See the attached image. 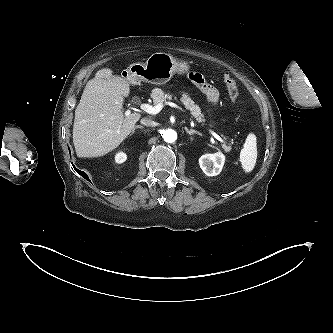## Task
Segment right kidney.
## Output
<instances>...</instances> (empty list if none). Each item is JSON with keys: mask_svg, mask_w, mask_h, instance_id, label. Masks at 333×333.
I'll return each instance as SVG.
<instances>
[{"mask_svg": "<svg viewBox=\"0 0 333 333\" xmlns=\"http://www.w3.org/2000/svg\"><path fill=\"white\" fill-rule=\"evenodd\" d=\"M115 162L121 164L126 161L127 155L124 152H118L114 156Z\"/></svg>", "mask_w": 333, "mask_h": 333, "instance_id": "obj_1", "label": "right kidney"}]
</instances>
